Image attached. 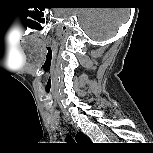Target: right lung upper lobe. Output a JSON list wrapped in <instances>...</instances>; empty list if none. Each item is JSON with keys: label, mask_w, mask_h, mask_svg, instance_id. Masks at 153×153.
<instances>
[{"label": "right lung upper lobe", "mask_w": 153, "mask_h": 153, "mask_svg": "<svg viewBox=\"0 0 153 153\" xmlns=\"http://www.w3.org/2000/svg\"><path fill=\"white\" fill-rule=\"evenodd\" d=\"M76 140L78 142H89L90 140L87 138L86 135H84L82 132H79L77 135H76Z\"/></svg>", "instance_id": "right-lung-upper-lobe-1"}]
</instances>
